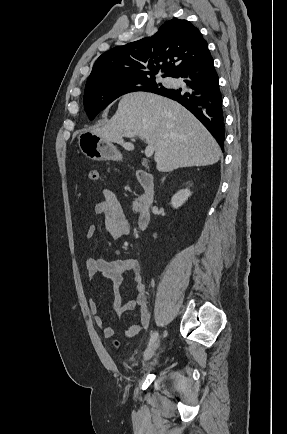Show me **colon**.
Wrapping results in <instances>:
<instances>
[{"instance_id": "1", "label": "colon", "mask_w": 287, "mask_h": 434, "mask_svg": "<svg viewBox=\"0 0 287 434\" xmlns=\"http://www.w3.org/2000/svg\"><path fill=\"white\" fill-rule=\"evenodd\" d=\"M101 170L99 168H91L88 170V178L91 181H98L101 178Z\"/></svg>"}]
</instances>
